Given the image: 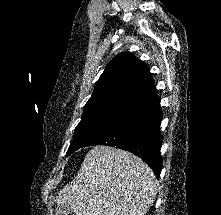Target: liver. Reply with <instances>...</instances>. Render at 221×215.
<instances>
[{"mask_svg":"<svg viewBox=\"0 0 221 215\" xmlns=\"http://www.w3.org/2000/svg\"><path fill=\"white\" fill-rule=\"evenodd\" d=\"M157 191L153 171L139 157L118 148L95 146L56 202L70 204L74 215H144Z\"/></svg>","mask_w":221,"mask_h":215,"instance_id":"liver-1","label":"liver"}]
</instances>
